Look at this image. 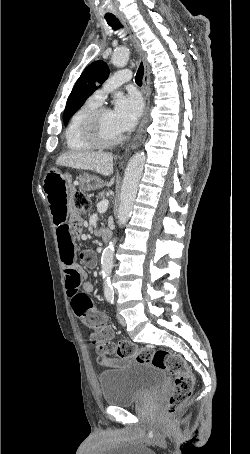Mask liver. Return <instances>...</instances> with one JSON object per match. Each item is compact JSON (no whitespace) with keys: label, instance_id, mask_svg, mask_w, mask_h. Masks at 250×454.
I'll return each instance as SVG.
<instances>
[{"label":"liver","instance_id":"6515ba94","mask_svg":"<svg viewBox=\"0 0 250 454\" xmlns=\"http://www.w3.org/2000/svg\"><path fill=\"white\" fill-rule=\"evenodd\" d=\"M57 165L92 170L103 176L113 174V155L104 152H67L60 155L56 160ZM114 178L111 179L108 186L113 185Z\"/></svg>","mask_w":250,"mask_h":454}]
</instances>
